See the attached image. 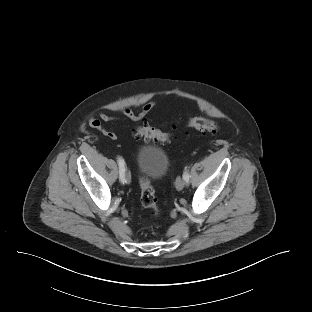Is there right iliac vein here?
<instances>
[{"mask_svg": "<svg viewBox=\"0 0 312 312\" xmlns=\"http://www.w3.org/2000/svg\"><path fill=\"white\" fill-rule=\"evenodd\" d=\"M124 180L127 183H129L130 180H131V175H130V173L128 171H126L125 174H124Z\"/></svg>", "mask_w": 312, "mask_h": 312, "instance_id": "right-iliac-vein-1", "label": "right iliac vein"}]
</instances>
